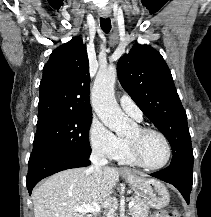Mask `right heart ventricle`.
<instances>
[{
	"label": "right heart ventricle",
	"mask_w": 211,
	"mask_h": 217,
	"mask_svg": "<svg viewBox=\"0 0 211 217\" xmlns=\"http://www.w3.org/2000/svg\"><path fill=\"white\" fill-rule=\"evenodd\" d=\"M116 160H118V162L121 164H127V165L135 164L131 158L127 140H124L122 151L120 152Z\"/></svg>",
	"instance_id": "right-heart-ventricle-1"
}]
</instances>
